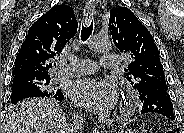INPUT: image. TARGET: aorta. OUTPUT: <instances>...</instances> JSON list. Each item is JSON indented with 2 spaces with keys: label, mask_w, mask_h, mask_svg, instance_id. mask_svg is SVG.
Segmentation results:
<instances>
[{
  "label": "aorta",
  "mask_w": 184,
  "mask_h": 133,
  "mask_svg": "<svg viewBox=\"0 0 184 133\" xmlns=\"http://www.w3.org/2000/svg\"><path fill=\"white\" fill-rule=\"evenodd\" d=\"M88 47L94 52H105L111 49V42L107 38L95 35L89 39Z\"/></svg>",
  "instance_id": "aorta-1"
}]
</instances>
